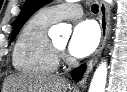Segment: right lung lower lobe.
I'll list each match as a JSON object with an SVG mask.
<instances>
[{
    "label": "right lung lower lobe",
    "instance_id": "98d812e1",
    "mask_svg": "<svg viewBox=\"0 0 127 92\" xmlns=\"http://www.w3.org/2000/svg\"><path fill=\"white\" fill-rule=\"evenodd\" d=\"M85 72V65H81L72 71V77L75 81H78Z\"/></svg>",
    "mask_w": 127,
    "mask_h": 92
}]
</instances>
